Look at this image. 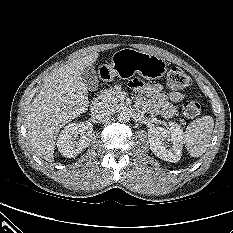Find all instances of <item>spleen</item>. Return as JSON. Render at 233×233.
I'll list each match as a JSON object with an SVG mask.
<instances>
[{
  "instance_id": "spleen-1",
  "label": "spleen",
  "mask_w": 233,
  "mask_h": 233,
  "mask_svg": "<svg viewBox=\"0 0 233 233\" xmlns=\"http://www.w3.org/2000/svg\"><path fill=\"white\" fill-rule=\"evenodd\" d=\"M214 120L212 116H203L190 123L183 135V142L192 157H200L207 150L212 132Z\"/></svg>"
}]
</instances>
